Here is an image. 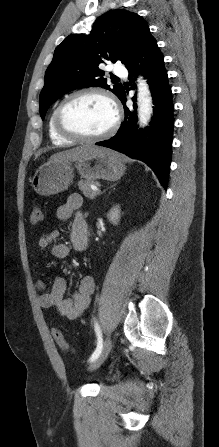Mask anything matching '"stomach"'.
I'll return each mask as SVG.
<instances>
[{
  "instance_id": "0dacf381",
  "label": "stomach",
  "mask_w": 219,
  "mask_h": 447,
  "mask_svg": "<svg viewBox=\"0 0 219 447\" xmlns=\"http://www.w3.org/2000/svg\"><path fill=\"white\" fill-rule=\"evenodd\" d=\"M75 168L83 178L90 181H116L124 174L125 163L119 153L106 148L88 159L76 161L75 164L71 161H48L37 169L31 180L32 187L43 196L62 192L72 183Z\"/></svg>"
}]
</instances>
